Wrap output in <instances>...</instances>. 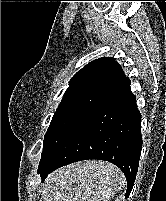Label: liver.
Instances as JSON below:
<instances>
[{"mask_svg": "<svg viewBox=\"0 0 166 201\" xmlns=\"http://www.w3.org/2000/svg\"><path fill=\"white\" fill-rule=\"evenodd\" d=\"M115 165L86 160L61 167L49 174L40 193L43 201H110L125 186Z\"/></svg>", "mask_w": 166, "mask_h": 201, "instance_id": "liver-1", "label": "liver"}]
</instances>
